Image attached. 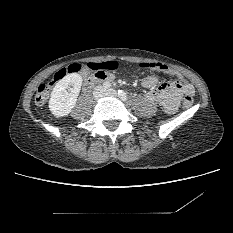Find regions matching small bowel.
<instances>
[{
    "mask_svg": "<svg viewBox=\"0 0 233 233\" xmlns=\"http://www.w3.org/2000/svg\"><path fill=\"white\" fill-rule=\"evenodd\" d=\"M118 68L116 59H108L101 63L88 62L84 65L82 73L86 74L88 70L103 72L109 76L110 80L114 78L113 72ZM177 80L161 81L157 75H149L142 81V85L149 90L148 97L154 102L159 103L164 111L172 114L177 111L179 99L182 93L194 94L192 85L183 81L179 73H175ZM109 82V81H107Z\"/></svg>",
    "mask_w": 233,
    "mask_h": 233,
    "instance_id": "small-bowel-1",
    "label": "small bowel"
}]
</instances>
